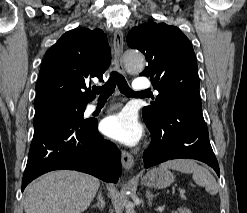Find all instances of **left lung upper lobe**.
I'll use <instances>...</instances> for the list:
<instances>
[{"mask_svg":"<svg viewBox=\"0 0 247 213\" xmlns=\"http://www.w3.org/2000/svg\"><path fill=\"white\" fill-rule=\"evenodd\" d=\"M127 42L130 48L145 55L148 66L140 75L150 76L159 92L151 105L143 108L147 126L158 122L172 100H180L190 108L201 110L195 53L179 28L150 21L134 27L127 35Z\"/></svg>","mask_w":247,"mask_h":213,"instance_id":"obj_1","label":"left lung upper lobe"}]
</instances>
